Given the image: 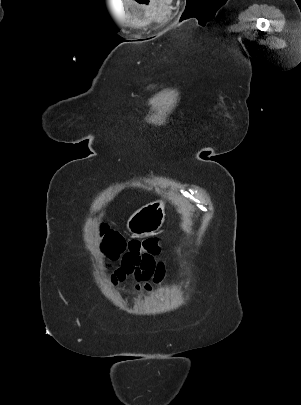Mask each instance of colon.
Returning a JSON list of instances; mask_svg holds the SVG:
<instances>
[{"instance_id": "obj_1", "label": "colon", "mask_w": 301, "mask_h": 405, "mask_svg": "<svg viewBox=\"0 0 301 405\" xmlns=\"http://www.w3.org/2000/svg\"><path fill=\"white\" fill-rule=\"evenodd\" d=\"M98 231L102 240V250L111 260L122 259L126 256L155 255L160 252L158 237L155 235H150L149 239L143 241H126L118 232L111 230L105 224L99 225Z\"/></svg>"}]
</instances>
